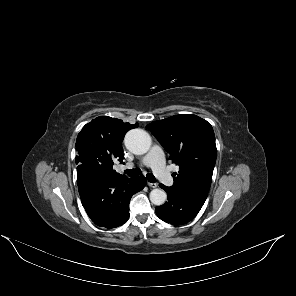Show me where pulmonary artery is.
<instances>
[{"mask_svg":"<svg viewBox=\"0 0 296 296\" xmlns=\"http://www.w3.org/2000/svg\"><path fill=\"white\" fill-rule=\"evenodd\" d=\"M141 165L150 167L155 175L167 186H172L174 181L165 166V157L162 148L154 145L151 150L142 158ZM134 167L133 163H127L122 169Z\"/></svg>","mask_w":296,"mask_h":296,"instance_id":"1","label":"pulmonary artery"}]
</instances>
